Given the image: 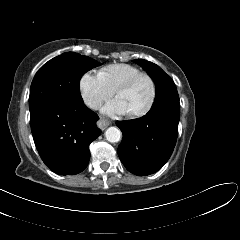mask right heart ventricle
<instances>
[{"label": "right heart ventricle", "mask_w": 240, "mask_h": 240, "mask_svg": "<svg viewBox=\"0 0 240 240\" xmlns=\"http://www.w3.org/2000/svg\"><path fill=\"white\" fill-rule=\"evenodd\" d=\"M139 73H141V70L133 65L118 63L103 67L99 71V76L113 91H115L121 83Z\"/></svg>", "instance_id": "obj_1"}]
</instances>
